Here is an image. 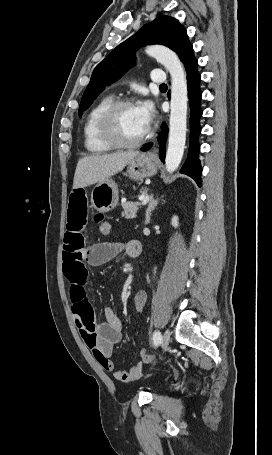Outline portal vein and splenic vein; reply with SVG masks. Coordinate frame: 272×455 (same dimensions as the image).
<instances>
[{"label":"portal vein and splenic vein","instance_id":"1","mask_svg":"<svg viewBox=\"0 0 272 455\" xmlns=\"http://www.w3.org/2000/svg\"><path fill=\"white\" fill-rule=\"evenodd\" d=\"M141 200H142V205H146L148 203V201H149V196L146 195Z\"/></svg>","mask_w":272,"mask_h":455}]
</instances>
